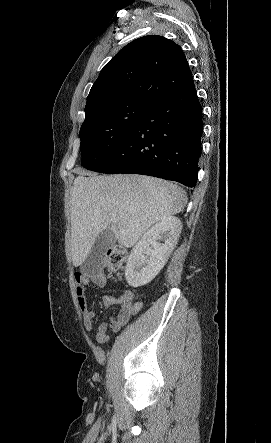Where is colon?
Returning <instances> with one entry per match:
<instances>
[{
	"mask_svg": "<svg viewBox=\"0 0 271 443\" xmlns=\"http://www.w3.org/2000/svg\"><path fill=\"white\" fill-rule=\"evenodd\" d=\"M126 250L122 247H112L105 255V269L111 274L118 273L126 259Z\"/></svg>",
	"mask_w": 271,
	"mask_h": 443,
	"instance_id": "colon-1",
	"label": "colon"
}]
</instances>
